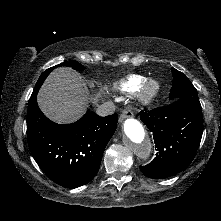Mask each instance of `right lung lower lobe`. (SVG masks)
Segmentation results:
<instances>
[{
    "label": "right lung lower lobe",
    "instance_id": "1",
    "mask_svg": "<svg viewBox=\"0 0 221 221\" xmlns=\"http://www.w3.org/2000/svg\"><path fill=\"white\" fill-rule=\"evenodd\" d=\"M39 88H34L28 105L27 139L32 155L55 183L68 188L87 184L98 173L118 115L100 117L88 111L75 123H54L38 107Z\"/></svg>",
    "mask_w": 221,
    "mask_h": 221
}]
</instances>
